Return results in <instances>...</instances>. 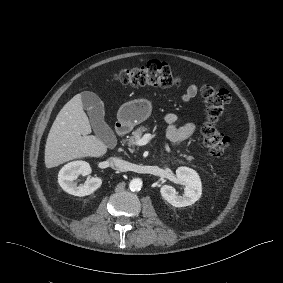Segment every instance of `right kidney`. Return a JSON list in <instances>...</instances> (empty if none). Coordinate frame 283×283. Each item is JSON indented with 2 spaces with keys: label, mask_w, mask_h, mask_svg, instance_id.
Instances as JSON below:
<instances>
[{
  "label": "right kidney",
  "mask_w": 283,
  "mask_h": 283,
  "mask_svg": "<svg viewBox=\"0 0 283 283\" xmlns=\"http://www.w3.org/2000/svg\"><path fill=\"white\" fill-rule=\"evenodd\" d=\"M91 171L89 163L85 161L70 162L64 165L59 171V185L65 192L74 196L82 197L90 195L101 186V178L88 176L85 183L81 185H78L74 180L76 175L87 176Z\"/></svg>",
  "instance_id": "1"
}]
</instances>
